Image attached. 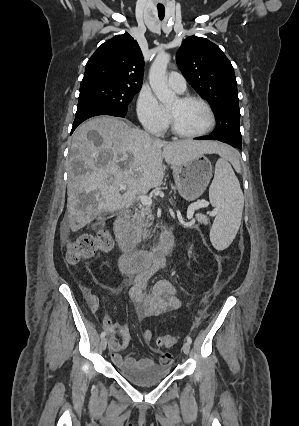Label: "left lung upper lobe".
I'll list each match as a JSON object with an SVG mask.
<instances>
[{
  "mask_svg": "<svg viewBox=\"0 0 299 426\" xmlns=\"http://www.w3.org/2000/svg\"><path fill=\"white\" fill-rule=\"evenodd\" d=\"M177 64L189 84L213 106L217 125L211 135L242 145L237 82L222 50L205 38L190 36L178 50Z\"/></svg>",
  "mask_w": 299,
  "mask_h": 426,
  "instance_id": "1",
  "label": "left lung upper lobe"
}]
</instances>
